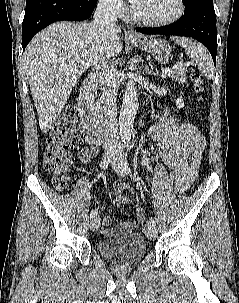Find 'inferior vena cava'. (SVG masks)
Returning <instances> with one entry per match:
<instances>
[{
  "instance_id": "1",
  "label": "inferior vena cava",
  "mask_w": 239,
  "mask_h": 303,
  "mask_svg": "<svg viewBox=\"0 0 239 303\" xmlns=\"http://www.w3.org/2000/svg\"><path fill=\"white\" fill-rule=\"evenodd\" d=\"M115 3L113 0H99L94 12V25L102 31L104 28L116 26ZM95 70L100 78L101 99L105 115L104 148L105 150L120 149L117 125V81L116 69L111 61V56L106 55L102 62L94 61Z\"/></svg>"
}]
</instances>
